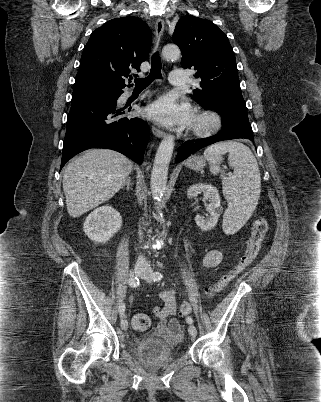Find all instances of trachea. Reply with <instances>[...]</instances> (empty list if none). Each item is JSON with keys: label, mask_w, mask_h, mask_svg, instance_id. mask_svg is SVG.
<instances>
[{"label": "trachea", "mask_w": 321, "mask_h": 402, "mask_svg": "<svg viewBox=\"0 0 321 402\" xmlns=\"http://www.w3.org/2000/svg\"><path fill=\"white\" fill-rule=\"evenodd\" d=\"M162 63L159 54L156 52L151 57V70L147 77L135 79V85L138 89L148 87L155 79L162 78L161 74Z\"/></svg>", "instance_id": "3493384b"}]
</instances>
